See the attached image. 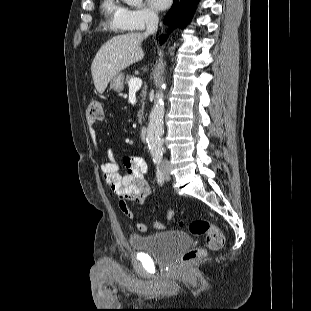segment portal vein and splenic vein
Here are the masks:
<instances>
[{"mask_svg":"<svg viewBox=\"0 0 311 311\" xmlns=\"http://www.w3.org/2000/svg\"><path fill=\"white\" fill-rule=\"evenodd\" d=\"M128 86L130 90L137 91L142 86V80L140 78H133L130 80Z\"/></svg>","mask_w":311,"mask_h":311,"instance_id":"obj_1","label":"portal vein and splenic vein"}]
</instances>
